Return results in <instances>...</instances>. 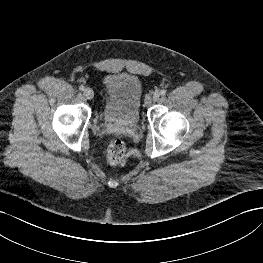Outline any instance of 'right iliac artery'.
<instances>
[{
  "instance_id": "right-iliac-artery-1",
  "label": "right iliac artery",
  "mask_w": 263,
  "mask_h": 263,
  "mask_svg": "<svg viewBox=\"0 0 263 263\" xmlns=\"http://www.w3.org/2000/svg\"><path fill=\"white\" fill-rule=\"evenodd\" d=\"M79 90L83 91L84 90V86L83 85L79 86Z\"/></svg>"
}]
</instances>
